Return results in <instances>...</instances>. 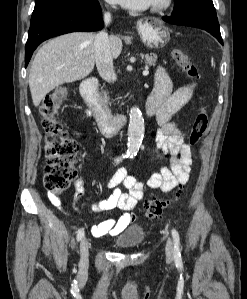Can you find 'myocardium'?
<instances>
[{
    "mask_svg": "<svg viewBox=\"0 0 247 299\" xmlns=\"http://www.w3.org/2000/svg\"><path fill=\"white\" fill-rule=\"evenodd\" d=\"M171 0H153L151 7L154 11L165 9L169 6Z\"/></svg>",
    "mask_w": 247,
    "mask_h": 299,
    "instance_id": "1",
    "label": "myocardium"
}]
</instances>
